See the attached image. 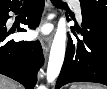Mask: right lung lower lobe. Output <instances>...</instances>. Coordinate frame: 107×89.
Instances as JSON below:
<instances>
[{"mask_svg":"<svg viewBox=\"0 0 107 89\" xmlns=\"http://www.w3.org/2000/svg\"><path fill=\"white\" fill-rule=\"evenodd\" d=\"M20 5L21 1H18L0 8V74L18 81L26 89H33L37 81V72L43 65L40 42H15L6 39L10 34L5 27L8 13L17 12ZM43 7L44 0H30L27 18H24L22 23L30 29H35L39 24Z\"/></svg>","mask_w":107,"mask_h":89,"instance_id":"obj_1","label":"right lung lower lobe"}]
</instances>
